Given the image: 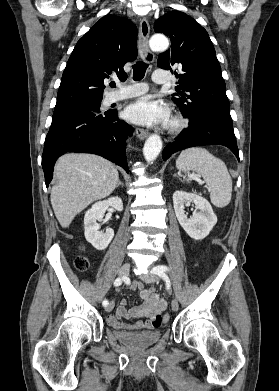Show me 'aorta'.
I'll return each instance as SVG.
<instances>
[{
    "mask_svg": "<svg viewBox=\"0 0 279 391\" xmlns=\"http://www.w3.org/2000/svg\"><path fill=\"white\" fill-rule=\"evenodd\" d=\"M151 49L155 51L166 50L169 46L168 39L163 35H154L149 41ZM162 149L161 137L157 134L150 135L146 140L143 148V155L147 162H153Z\"/></svg>",
    "mask_w": 279,
    "mask_h": 391,
    "instance_id": "obj_1",
    "label": "aorta"
}]
</instances>
